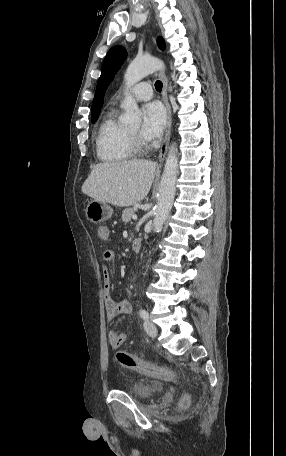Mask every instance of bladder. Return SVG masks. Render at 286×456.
Returning <instances> with one entry per match:
<instances>
[{
    "instance_id": "31cf9c89",
    "label": "bladder",
    "mask_w": 286,
    "mask_h": 456,
    "mask_svg": "<svg viewBox=\"0 0 286 456\" xmlns=\"http://www.w3.org/2000/svg\"><path fill=\"white\" fill-rule=\"evenodd\" d=\"M159 391V386L153 382L138 381L132 384L128 392L133 396L141 399H147L155 395Z\"/></svg>"
}]
</instances>
